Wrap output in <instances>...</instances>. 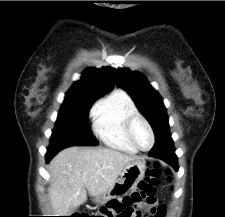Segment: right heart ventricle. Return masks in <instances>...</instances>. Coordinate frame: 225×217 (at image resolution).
Segmentation results:
<instances>
[{"label": "right heart ventricle", "instance_id": "1", "mask_svg": "<svg viewBox=\"0 0 225 217\" xmlns=\"http://www.w3.org/2000/svg\"><path fill=\"white\" fill-rule=\"evenodd\" d=\"M137 112L131 96L123 90H115L104 98L94 110V131L109 148L135 154L138 150L126 135V120Z\"/></svg>", "mask_w": 225, "mask_h": 217}]
</instances>
